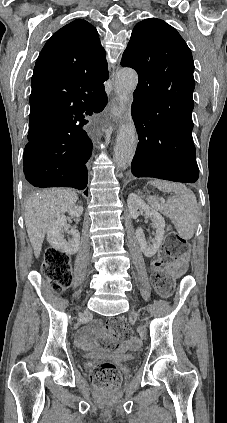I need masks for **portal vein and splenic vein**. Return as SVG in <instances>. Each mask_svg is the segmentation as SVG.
<instances>
[{
	"instance_id": "obj_1",
	"label": "portal vein and splenic vein",
	"mask_w": 227,
	"mask_h": 423,
	"mask_svg": "<svg viewBox=\"0 0 227 423\" xmlns=\"http://www.w3.org/2000/svg\"><path fill=\"white\" fill-rule=\"evenodd\" d=\"M161 203H162V204H165V203H166V200H165V199H162V200H161Z\"/></svg>"
}]
</instances>
